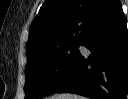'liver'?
<instances>
[{"label": "liver", "instance_id": "1", "mask_svg": "<svg viewBox=\"0 0 128 99\" xmlns=\"http://www.w3.org/2000/svg\"><path fill=\"white\" fill-rule=\"evenodd\" d=\"M49 99H85V98L75 94H56L50 97Z\"/></svg>", "mask_w": 128, "mask_h": 99}]
</instances>
